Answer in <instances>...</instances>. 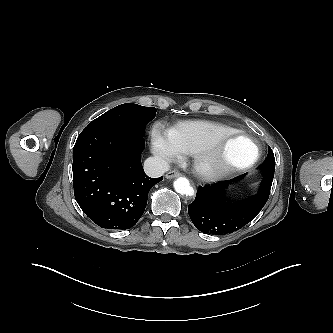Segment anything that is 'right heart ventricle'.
Returning <instances> with one entry per match:
<instances>
[{"instance_id":"right-heart-ventricle-1","label":"right heart ventricle","mask_w":333,"mask_h":333,"mask_svg":"<svg viewBox=\"0 0 333 333\" xmlns=\"http://www.w3.org/2000/svg\"><path fill=\"white\" fill-rule=\"evenodd\" d=\"M233 131V128L219 122L189 120L173 126L170 134L182 153L194 154L216 137Z\"/></svg>"}]
</instances>
